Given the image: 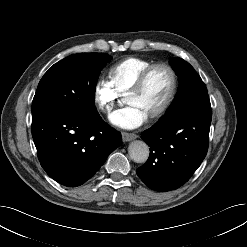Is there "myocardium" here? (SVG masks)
Returning <instances> with one entry per match:
<instances>
[{"mask_svg":"<svg viewBox=\"0 0 247 247\" xmlns=\"http://www.w3.org/2000/svg\"><path fill=\"white\" fill-rule=\"evenodd\" d=\"M157 68H164L165 70L168 71L171 77V87H170V91L164 103L161 105V107L157 111H155L153 114L148 116L149 120H156L160 118L161 116H163L166 113V111L169 109L171 104L173 103L175 96L177 94V90H178V77H177L175 70L166 63L151 64L140 74L135 84L127 92V95L140 93L144 89L145 84L150 74Z\"/></svg>","mask_w":247,"mask_h":247,"instance_id":"f54148a6","label":"myocardium"}]
</instances>
